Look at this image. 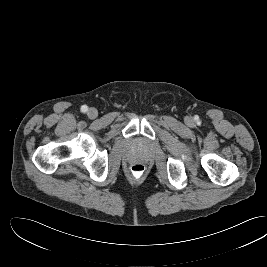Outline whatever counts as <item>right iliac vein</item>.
<instances>
[{
	"label": "right iliac vein",
	"mask_w": 267,
	"mask_h": 267,
	"mask_svg": "<svg viewBox=\"0 0 267 267\" xmlns=\"http://www.w3.org/2000/svg\"><path fill=\"white\" fill-rule=\"evenodd\" d=\"M87 115H88V117H89L90 119H94V118L97 117V115H98V111H97L96 108H93V107H92V108H90V109L88 110Z\"/></svg>",
	"instance_id": "obj_1"
}]
</instances>
